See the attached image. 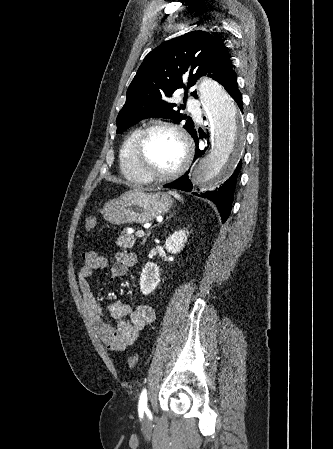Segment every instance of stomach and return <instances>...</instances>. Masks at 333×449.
<instances>
[{"mask_svg":"<svg viewBox=\"0 0 333 449\" xmlns=\"http://www.w3.org/2000/svg\"><path fill=\"white\" fill-rule=\"evenodd\" d=\"M171 206L172 199L167 193H145L135 190L107 202L101 213L103 218L112 224H143L167 213Z\"/></svg>","mask_w":333,"mask_h":449,"instance_id":"stomach-1","label":"stomach"}]
</instances>
